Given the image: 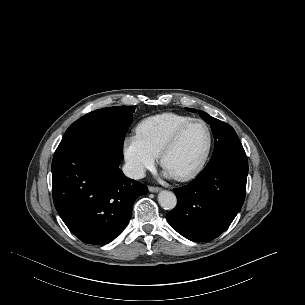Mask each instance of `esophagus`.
Wrapping results in <instances>:
<instances>
[{
    "instance_id": "1",
    "label": "esophagus",
    "mask_w": 305,
    "mask_h": 305,
    "mask_svg": "<svg viewBox=\"0 0 305 305\" xmlns=\"http://www.w3.org/2000/svg\"><path fill=\"white\" fill-rule=\"evenodd\" d=\"M148 189L150 192H158L161 190L160 187H155V186H150Z\"/></svg>"
}]
</instances>
